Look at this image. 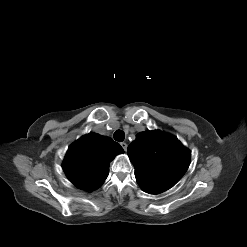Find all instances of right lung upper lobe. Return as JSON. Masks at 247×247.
I'll return each mask as SVG.
<instances>
[{"label":"right lung upper lobe","instance_id":"1","mask_svg":"<svg viewBox=\"0 0 247 247\" xmlns=\"http://www.w3.org/2000/svg\"><path fill=\"white\" fill-rule=\"evenodd\" d=\"M120 153L122 147L111 138L89 133L68 148L62 168L78 188L94 190L103 184L110 161Z\"/></svg>","mask_w":247,"mask_h":247}]
</instances>
